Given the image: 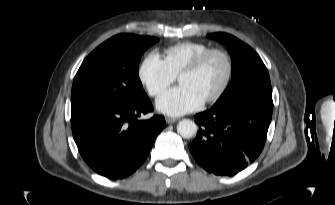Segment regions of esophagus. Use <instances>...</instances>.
<instances>
[{
  "label": "esophagus",
  "mask_w": 335,
  "mask_h": 205,
  "mask_svg": "<svg viewBox=\"0 0 335 205\" xmlns=\"http://www.w3.org/2000/svg\"><path fill=\"white\" fill-rule=\"evenodd\" d=\"M177 120H178V119H176V118H172V117H167V118H166V122H167L168 124L175 123Z\"/></svg>",
  "instance_id": "esophagus-1"
}]
</instances>
